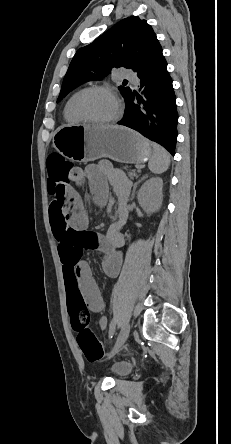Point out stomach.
Instances as JSON below:
<instances>
[{
    "mask_svg": "<svg viewBox=\"0 0 231 444\" xmlns=\"http://www.w3.org/2000/svg\"><path fill=\"white\" fill-rule=\"evenodd\" d=\"M53 146L64 157L77 162L107 157L121 163L140 164L153 153L150 142L120 126L63 125L55 131Z\"/></svg>",
    "mask_w": 231,
    "mask_h": 444,
    "instance_id": "0dacf381",
    "label": "stomach"
}]
</instances>
